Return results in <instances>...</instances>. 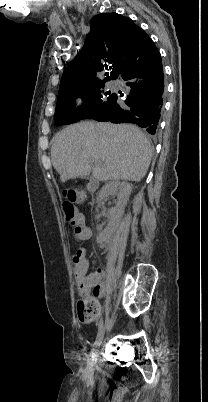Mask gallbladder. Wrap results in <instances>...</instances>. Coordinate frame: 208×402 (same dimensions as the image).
Instances as JSON below:
<instances>
[{"label": "gallbladder", "instance_id": "bac80fb5", "mask_svg": "<svg viewBox=\"0 0 208 402\" xmlns=\"http://www.w3.org/2000/svg\"><path fill=\"white\" fill-rule=\"evenodd\" d=\"M89 188H94V183H89Z\"/></svg>", "mask_w": 208, "mask_h": 402}]
</instances>
